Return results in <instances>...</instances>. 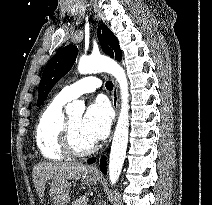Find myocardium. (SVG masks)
Listing matches in <instances>:
<instances>
[{
    "label": "myocardium",
    "instance_id": "myocardium-1",
    "mask_svg": "<svg viewBox=\"0 0 212 205\" xmlns=\"http://www.w3.org/2000/svg\"><path fill=\"white\" fill-rule=\"evenodd\" d=\"M60 145L62 150L69 156L83 157L91 154L95 150V144L92 143L85 148H78L73 141L69 118H65L60 135Z\"/></svg>",
    "mask_w": 212,
    "mask_h": 205
}]
</instances>
